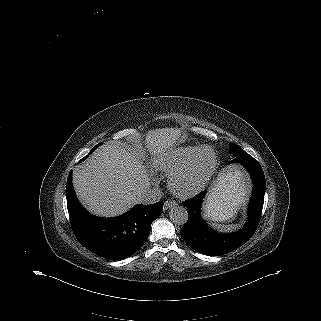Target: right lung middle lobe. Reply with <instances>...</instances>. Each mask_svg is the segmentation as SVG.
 Instances as JSON below:
<instances>
[{
  "mask_svg": "<svg viewBox=\"0 0 321 321\" xmlns=\"http://www.w3.org/2000/svg\"><path fill=\"white\" fill-rule=\"evenodd\" d=\"M99 146V144L98 145H96L94 148H92V150L89 152V154H91L97 147ZM88 156V155H87ZM87 156H85L83 159H81L80 161H82V160H84V159H86L87 158Z\"/></svg>",
  "mask_w": 321,
  "mask_h": 321,
  "instance_id": "obj_1",
  "label": "right lung middle lobe"
}]
</instances>
